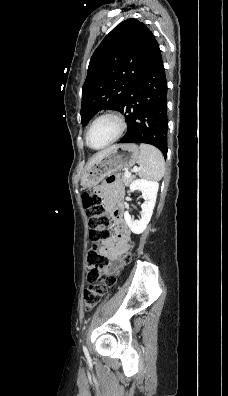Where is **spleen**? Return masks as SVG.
Returning a JSON list of instances; mask_svg holds the SVG:
<instances>
[{
	"label": "spleen",
	"mask_w": 228,
	"mask_h": 396,
	"mask_svg": "<svg viewBox=\"0 0 228 396\" xmlns=\"http://www.w3.org/2000/svg\"><path fill=\"white\" fill-rule=\"evenodd\" d=\"M138 175L147 180H161L165 173L164 157L160 150L149 144H140Z\"/></svg>",
	"instance_id": "3e777b00"
}]
</instances>
